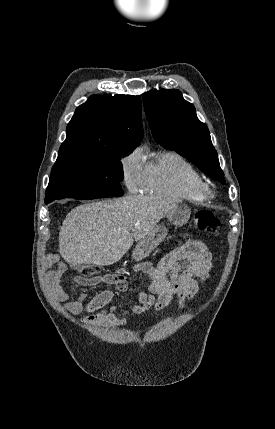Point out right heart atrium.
Wrapping results in <instances>:
<instances>
[{
  "label": "right heart atrium",
  "instance_id": "right-heart-atrium-1",
  "mask_svg": "<svg viewBox=\"0 0 275 429\" xmlns=\"http://www.w3.org/2000/svg\"><path fill=\"white\" fill-rule=\"evenodd\" d=\"M122 182L131 192L143 188L145 165L142 152L138 149L129 152L120 159Z\"/></svg>",
  "mask_w": 275,
  "mask_h": 429
}]
</instances>
